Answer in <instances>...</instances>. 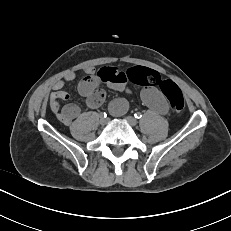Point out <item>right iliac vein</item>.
Masks as SVG:
<instances>
[{
	"instance_id": "1",
	"label": "right iliac vein",
	"mask_w": 231,
	"mask_h": 231,
	"mask_svg": "<svg viewBox=\"0 0 231 231\" xmlns=\"http://www.w3.org/2000/svg\"><path fill=\"white\" fill-rule=\"evenodd\" d=\"M107 123H108V119L107 118H103V117L100 118V124L101 125H106Z\"/></svg>"
}]
</instances>
